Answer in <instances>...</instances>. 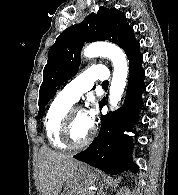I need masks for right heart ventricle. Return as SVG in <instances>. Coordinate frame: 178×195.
Segmentation results:
<instances>
[{
  "label": "right heart ventricle",
  "mask_w": 178,
  "mask_h": 195,
  "mask_svg": "<svg viewBox=\"0 0 178 195\" xmlns=\"http://www.w3.org/2000/svg\"><path fill=\"white\" fill-rule=\"evenodd\" d=\"M73 103L59 93L50 104L45 115V132L49 144L57 150L68 147L60 139V129L67 112Z\"/></svg>",
  "instance_id": "obj_1"
}]
</instances>
